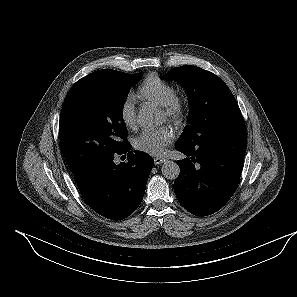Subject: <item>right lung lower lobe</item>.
<instances>
[{
  "label": "right lung lower lobe",
  "instance_id": "right-lung-lower-lobe-1",
  "mask_svg": "<svg viewBox=\"0 0 297 297\" xmlns=\"http://www.w3.org/2000/svg\"><path fill=\"white\" fill-rule=\"evenodd\" d=\"M130 149L128 144L115 154H126L127 163L116 165L114 155L101 157L74 173V180L85 201L105 218L124 219L137 209L143 199L154 161L148 154Z\"/></svg>",
  "mask_w": 297,
  "mask_h": 297
}]
</instances>
